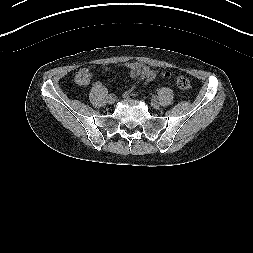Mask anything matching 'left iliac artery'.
<instances>
[{"instance_id": "1", "label": "left iliac artery", "mask_w": 253, "mask_h": 253, "mask_svg": "<svg viewBox=\"0 0 253 253\" xmlns=\"http://www.w3.org/2000/svg\"><path fill=\"white\" fill-rule=\"evenodd\" d=\"M151 98H152L153 100H156V99L158 98V95H157L156 93H153V94L151 95Z\"/></svg>"}]
</instances>
